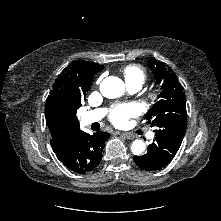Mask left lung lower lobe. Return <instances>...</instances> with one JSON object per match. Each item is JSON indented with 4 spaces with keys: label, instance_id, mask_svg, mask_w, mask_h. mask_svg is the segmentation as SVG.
<instances>
[{
    "label": "left lung lower lobe",
    "instance_id": "0a47b994",
    "mask_svg": "<svg viewBox=\"0 0 221 221\" xmlns=\"http://www.w3.org/2000/svg\"><path fill=\"white\" fill-rule=\"evenodd\" d=\"M180 145V142L155 137L153 143L148 146L147 153L142 156H134V161L145 171L161 170L171 162Z\"/></svg>",
    "mask_w": 221,
    "mask_h": 221
}]
</instances>
